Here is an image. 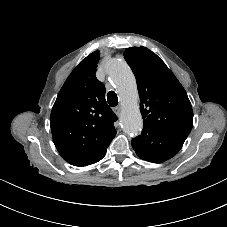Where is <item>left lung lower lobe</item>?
Returning a JSON list of instances; mask_svg holds the SVG:
<instances>
[{
  "label": "left lung lower lobe",
  "instance_id": "1",
  "mask_svg": "<svg viewBox=\"0 0 227 227\" xmlns=\"http://www.w3.org/2000/svg\"><path fill=\"white\" fill-rule=\"evenodd\" d=\"M183 141L152 128L143 127L142 133L133 138L132 147L136 154L149 162L161 163L176 155Z\"/></svg>",
  "mask_w": 227,
  "mask_h": 227
}]
</instances>
